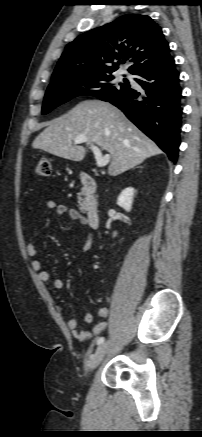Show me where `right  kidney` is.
<instances>
[{"instance_id": "ca27d5eb", "label": "right kidney", "mask_w": 202, "mask_h": 437, "mask_svg": "<svg viewBox=\"0 0 202 437\" xmlns=\"http://www.w3.org/2000/svg\"><path fill=\"white\" fill-rule=\"evenodd\" d=\"M135 190L132 187L125 188L117 199V204L126 211H130L132 208L133 196Z\"/></svg>"}]
</instances>
